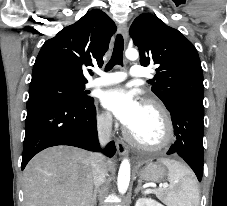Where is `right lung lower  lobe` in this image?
<instances>
[{
    "mask_svg": "<svg viewBox=\"0 0 227 206\" xmlns=\"http://www.w3.org/2000/svg\"><path fill=\"white\" fill-rule=\"evenodd\" d=\"M27 108L22 170L34 155L51 146L70 145L100 151L94 99L84 104L40 102ZM103 152L113 156L114 142Z\"/></svg>",
    "mask_w": 227,
    "mask_h": 206,
    "instance_id": "right-lung-lower-lobe-1",
    "label": "right lung lower lobe"
}]
</instances>
